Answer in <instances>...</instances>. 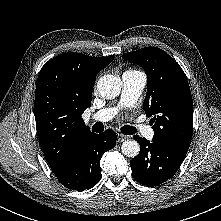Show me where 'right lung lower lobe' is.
<instances>
[{
    "label": "right lung lower lobe",
    "instance_id": "obj_1",
    "mask_svg": "<svg viewBox=\"0 0 221 221\" xmlns=\"http://www.w3.org/2000/svg\"><path fill=\"white\" fill-rule=\"evenodd\" d=\"M115 144L116 134L110 129L101 134L89 132L80 141L67 164L54 174L68 189H90L101 179L99 161L102 154L112 149Z\"/></svg>",
    "mask_w": 221,
    "mask_h": 221
}]
</instances>
